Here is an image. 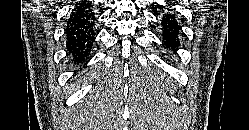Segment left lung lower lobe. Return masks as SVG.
<instances>
[{"label":"left lung lower lobe","instance_id":"left-lung-lower-lobe-1","mask_svg":"<svg viewBox=\"0 0 249 130\" xmlns=\"http://www.w3.org/2000/svg\"><path fill=\"white\" fill-rule=\"evenodd\" d=\"M165 10H163L161 14V26H162V36L165 44L168 47L176 48L180 45L179 42V30L180 26L175 18V15L172 14L174 10L162 6Z\"/></svg>","mask_w":249,"mask_h":130}]
</instances>
